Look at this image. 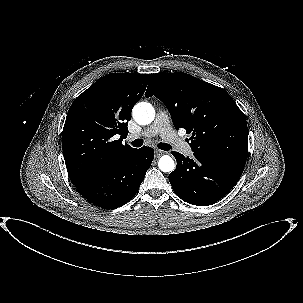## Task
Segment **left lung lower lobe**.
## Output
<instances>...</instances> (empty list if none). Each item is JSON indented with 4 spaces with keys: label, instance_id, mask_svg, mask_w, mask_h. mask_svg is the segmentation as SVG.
Masks as SVG:
<instances>
[{
    "label": "left lung lower lobe",
    "instance_id": "0a47b994",
    "mask_svg": "<svg viewBox=\"0 0 303 303\" xmlns=\"http://www.w3.org/2000/svg\"><path fill=\"white\" fill-rule=\"evenodd\" d=\"M176 169L169 174L171 186L183 201L197 206H208L223 198L238 182L247 158L194 152L185 158L172 152Z\"/></svg>",
    "mask_w": 303,
    "mask_h": 303
}]
</instances>
